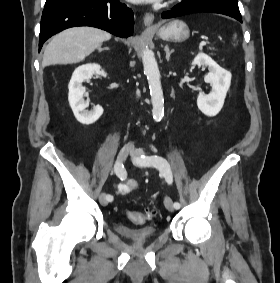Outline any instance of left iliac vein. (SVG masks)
<instances>
[{"label": "left iliac vein", "instance_id": "4c4485c4", "mask_svg": "<svg viewBox=\"0 0 280 283\" xmlns=\"http://www.w3.org/2000/svg\"><path fill=\"white\" fill-rule=\"evenodd\" d=\"M144 154L143 150L142 149H133L131 152H130V155L133 159V162L136 164V165H139V166H147V165H143L139 162V159L140 157ZM164 205L166 207L167 210L169 211H174V205H173V202L171 200L170 197L166 196L164 198Z\"/></svg>", "mask_w": 280, "mask_h": 283}]
</instances>
